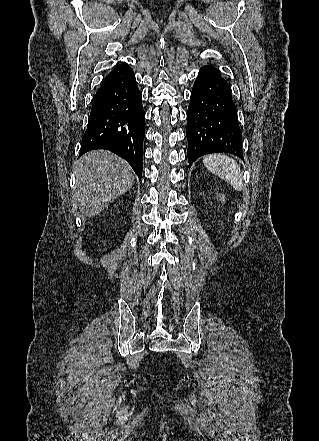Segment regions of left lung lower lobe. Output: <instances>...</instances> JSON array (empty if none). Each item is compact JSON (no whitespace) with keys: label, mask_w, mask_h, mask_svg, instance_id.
I'll list each match as a JSON object with an SVG mask.
<instances>
[{"label":"left lung lower lobe","mask_w":319,"mask_h":441,"mask_svg":"<svg viewBox=\"0 0 319 441\" xmlns=\"http://www.w3.org/2000/svg\"><path fill=\"white\" fill-rule=\"evenodd\" d=\"M189 167L209 153H231L240 158L242 133L231 88L220 71L211 66L200 69L187 111Z\"/></svg>","instance_id":"0a47b994"}]
</instances>
